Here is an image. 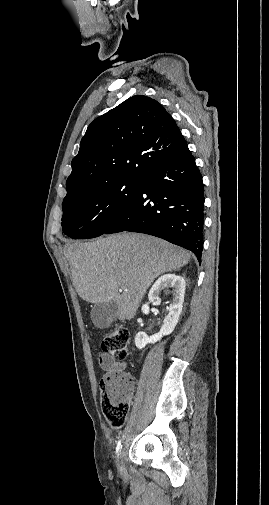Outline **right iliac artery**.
Listing matches in <instances>:
<instances>
[{
	"instance_id": "82829eb1",
	"label": "right iliac artery",
	"mask_w": 269,
	"mask_h": 505,
	"mask_svg": "<svg viewBox=\"0 0 269 505\" xmlns=\"http://www.w3.org/2000/svg\"><path fill=\"white\" fill-rule=\"evenodd\" d=\"M122 448L121 441H118L117 447H116V452L118 453Z\"/></svg>"
}]
</instances>
